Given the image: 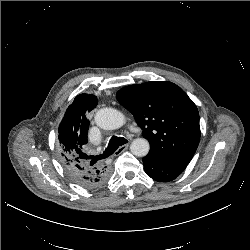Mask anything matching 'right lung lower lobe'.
Returning <instances> with one entry per match:
<instances>
[{
  "mask_svg": "<svg viewBox=\"0 0 250 250\" xmlns=\"http://www.w3.org/2000/svg\"><path fill=\"white\" fill-rule=\"evenodd\" d=\"M66 171L78 185L85 188H95L102 185L110 175V171L100 174H96L91 170L73 171L66 169Z\"/></svg>",
  "mask_w": 250,
  "mask_h": 250,
  "instance_id": "obj_1",
  "label": "right lung lower lobe"
}]
</instances>
